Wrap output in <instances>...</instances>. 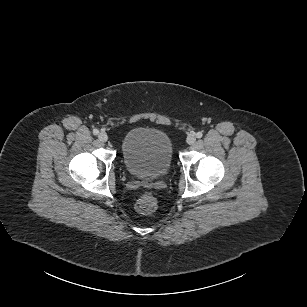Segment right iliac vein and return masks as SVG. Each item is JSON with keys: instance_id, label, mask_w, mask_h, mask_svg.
<instances>
[{"instance_id": "right-iliac-vein-1", "label": "right iliac vein", "mask_w": 307, "mask_h": 307, "mask_svg": "<svg viewBox=\"0 0 307 307\" xmlns=\"http://www.w3.org/2000/svg\"><path fill=\"white\" fill-rule=\"evenodd\" d=\"M98 138L101 142H106L108 140V136L105 132H100Z\"/></svg>"}]
</instances>
